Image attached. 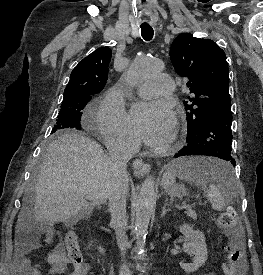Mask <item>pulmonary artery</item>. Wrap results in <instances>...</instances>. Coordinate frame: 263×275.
<instances>
[{
  "instance_id": "e3ab8cb5",
  "label": "pulmonary artery",
  "mask_w": 263,
  "mask_h": 275,
  "mask_svg": "<svg viewBox=\"0 0 263 275\" xmlns=\"http://www.w3.org/2000/svg\"><path fill=\"white\" fill-rule=\"evenodd\" d=\"M174 90L175 85L173 80L167 75L159 74L143 82L137 88V94L141 98L151 99L170 95Z\"/></svg>"
}]
</instances>
